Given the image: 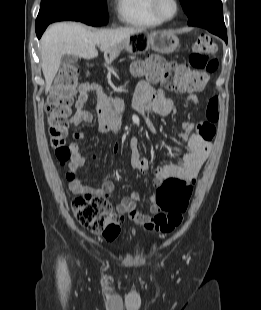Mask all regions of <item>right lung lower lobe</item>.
<instances>
[{
    "label": "right lung lower lobe",
    "instance_id": "98d812e1",
    "mask_svg": "<svg viewBox=\"0 0 261 310\" xmlns=\"http://www.w3.org/2000/svg\"><path fill=\"white\" fill-rule=\"evenodd\" d=\"M48 25H43V26H40V27L36 28V35H37L38 38H40L42 36L43 32L45 31V29H46V27Z\"/></svg>",
    "mask_w": 261,
    "mask_h": 310
}]
</instances>
